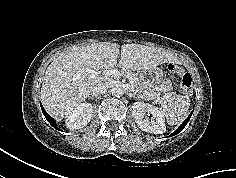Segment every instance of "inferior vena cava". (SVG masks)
<instances>
[{"label":"inferior vena cava","mask_w":236,"mask_h":178,"mask_svg":"<svg viewBox=\"0 0 236 178\" xmlns=\"http://www.w3.org/2000/svg\"><path fill=\"white\" fill-rule=\"evenodd\" d=\"M109 87H110V84L107 83V82L95 85L90 90L91 91V95L92 96H99L102 93H104Z\"/></svg>","instance_id":"602c4592"}]
</instances>
